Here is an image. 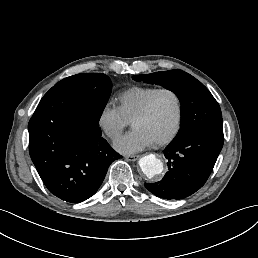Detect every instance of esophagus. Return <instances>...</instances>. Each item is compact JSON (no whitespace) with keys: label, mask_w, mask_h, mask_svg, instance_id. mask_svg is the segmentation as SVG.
Returning <instances> with one entry per match:
<instances>
[{"label":"esophagus","mask_w":258,"mask_h":258,"mask_svg":"<svg viewBox=\"0 0 258 258\" xmlns=\"http://www.w3.org/2000/svg\"><path fill=\"white\" fill-rule=\"evenodd\" d=\"M140 155H128L125 157L126 161H136L140 158Z\"/></svg>","instance_id":"obj_1"}]
</instances>
